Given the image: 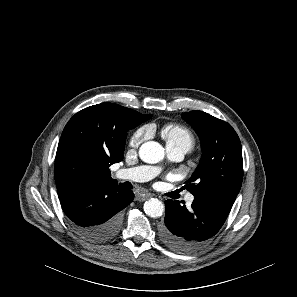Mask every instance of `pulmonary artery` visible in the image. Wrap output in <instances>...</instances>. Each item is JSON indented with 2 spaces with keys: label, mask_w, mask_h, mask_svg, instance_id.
Returning <instances> with one entry per match:
<instances>
[{
  "label": "pulmonary artery",
  "mask_w": 297,
  "mask_h": 297,
  "mask_svg": "<svg viewBox=\"0 0 297 297\" xmlns=\"http://www.w3.org/2000/svg\"><path fill=\"white\" fill-rule=\"evenodd\" d=\"M190 150V147L187 145H167L166 152L168 158L172 161L181 160L187 152ZM159 172L158 167L154 166H137L132 168H123L119 169L115 173V177L121 180L134 181V182H144L154 178ZM194 200L193 195H188L186 201L191 203Z\"/></svg>",
  "instance_id": "pulmonary-artery-1"
}]
</instances>
